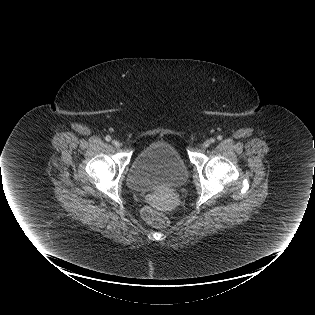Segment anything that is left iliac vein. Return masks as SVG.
Instances as JSON below:
<instances>
[{
  "label": "left iliac vein",
  "mask_w": 315,
  "mask_h": 315,
  "mask_svg": "<svg viewBox=\"0 0 315 315\" xmlns=\"http://www.w3.org/2000/svg\"><path fill=\"white\" fill-rule=\"evenodd\" d=\"M210 144H211V141H210V140H206V141H204V143L202 144V146H203V148H207V147L210 146Z\"/></svg>",
  "instance_id": "obj_1"
}]
</instances>
